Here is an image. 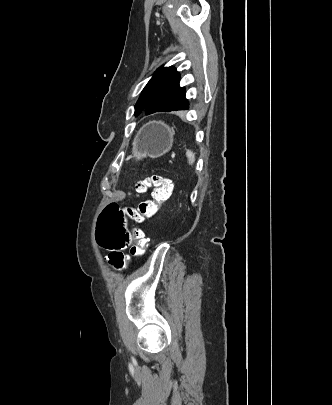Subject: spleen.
<instances>
[{"mask_svg": "<svg viewBox=\"0 0 332 405\" xmlns=\"http://www.w3.org/2000/svg\"><path fill=\"white\" fill-rule=\"evenodd\" d=\"M186 156L188 158L189 164H191V165L194 164V162H195V153L193 151H191V150H187L186 151Z\"/></svg>", "mask_w": 332, "mask_h": 405, "instance_id": "spleen-1", "label": "spleen"}]
</instances>
